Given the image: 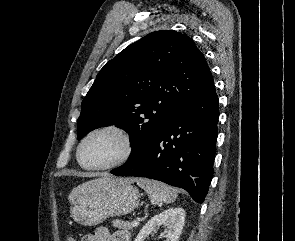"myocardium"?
<instances>
[{
    "instance_id": "f54148a6",
    "label": "myocardium",
    "mask_w": 295,
    "mask_h": 241,
    "mask_svg": "<svg viewBox=\"0 0 295 241\" xmlns=\"http://www.w3.org/2000/svg\"><path fill=\"white\" fill-rule=\"evenodd\" d=\"M103 131L114 132L122 138V140L124 142V147H125L124 153L122 154V156L119 159H117L116 161H114L110 164L101 165V166H87L81 160L82 148H83L84 144L86 143V141L92 135L99 133V132H103ZM134 150H135L134 141H133V138H132L131 134L129 133V131H127L125 128H123L119 125L107 124V125H102L97 128H94L93 130H91L89 133H87L84 136V138L81 140V142L78 145L77 152H76V158H77L79 165L86 170H93V171L110 170V169L117 168V167L125 164L126 162H128L130 160V158L132 157Z\"/></svg>"
}]
</instances>
